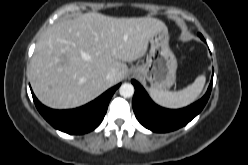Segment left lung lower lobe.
I'll use <instances>...</instances> for the list:
<instances>
[{
	"label": "left lung lower lobe",
	"instance_id": "0a47b994",
	"mask_svg": "<svg viewBox=\"0 0 248 165\" xmlns=\"http://www.w3.org/2000/svg\"><path fill=\"white\" fill-rule=\"evenodd\" d=\"M198 36L205 41L200 33ZM212 81L213 76L206 94L199 101L183 109L170 110L156 105L144 88L137 81L132 80L135 87L132 105L136 118L144 127L153 132H169L179 129L202 111L209 99Z\"/></svg>",
	"mask_w": 248,
	"mask_h": 165
}]
</instances>
